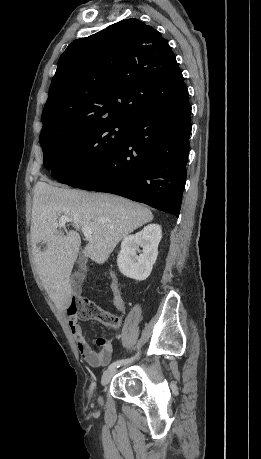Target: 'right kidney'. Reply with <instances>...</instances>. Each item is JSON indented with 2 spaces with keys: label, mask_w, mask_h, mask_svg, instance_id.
Wrapping results in <instances>:
<instances>
[{
  "label": "right kidney",
  "mask_w": 261,
  "mask_h": 459,
  "mask_svg": "<svg viewBox=\"0 0 261 459\" xmlns=\"http://www.w3.org/2000/svg\"><path fill=\"white\" fill-rule=\"evenodd\" d=\"M161 237L162 230L158 224H150L135 235L126 236L117 257L120 272L137 281L148 278L158 256ZM137 252L140 254L137 255Z\"/></svg>",
  "instance_id": "right-kidney-1"
}]
</instances>
